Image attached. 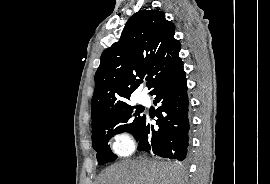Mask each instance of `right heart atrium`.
<instances>
[{
  "label": "right heart atrium",
  "mask_w": 270,
  "mask_h": 184,
  "mask_svg": "<svg viewBox=\"0 0 270 184\" xmlns=\"http://www.w3.org/2000/svg\"><path fill=\"white\" fill-rule=\"evenodd\" d=\"M135 148V141L131 133L125 129L117 130L112 136V149L122 157L130 155Z\"/></svg>",
  "instance_id": "d8ad5b80"
}]
</instances>
